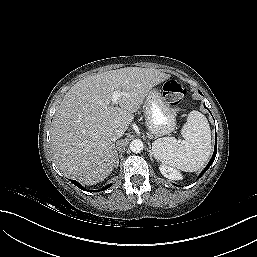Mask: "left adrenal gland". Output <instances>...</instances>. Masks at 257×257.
Segmentation results:
<instances>
[{"mask_svg": "<svg viewBox=\"0 0 257 257\" xmlns=\"http://www.w3.org/2000/svg\"><path fill=\"white\" fill-rule=\"evenodd\" d=\"M148 145H149V154H150V158L152 159V157H153V152H152V150H151V145H150V143H148Z\"/></svg>", "mask_w": 257, "mask_h": 257, "instance_id": "1", "label": "left adrenal gland"}]
</instances>
